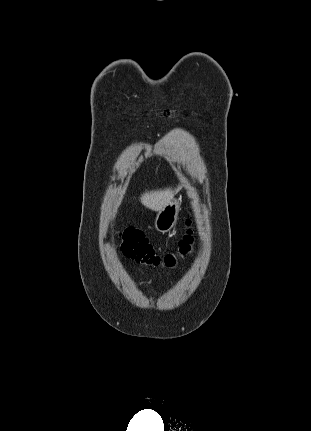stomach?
Here are the masks:
<instances>
[{
	"mask_svg": "<svg viewBox=\"0 0 311 431\" xmlns=\"http://www.w3.org/2000/svg\"><path fill=\"white\" fill-rule=\"evenodd\" d=\"M180 204L177 198H173L165 208L159 210L157 216L155 217L154 227L157 231L161 233H166V231H171L179 216Z\"/></svg>",
	"mask_w": 311,
	"mask_h": 431,
	"instance_id": "obj_1",
	"label": "stomach"
}]
</instances>
